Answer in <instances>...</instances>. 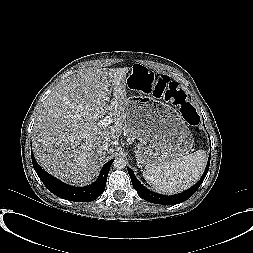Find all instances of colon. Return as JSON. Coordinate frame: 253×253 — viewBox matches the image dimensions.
<instances>
[{"mask_svg": "<svg viewBox=\"0 0 253 253\" xmlns=\"http://www.w3.org/2000/svg\"><path fill=\"white\" fill-rule=\"evenodd\" d=\"M150 72L143 66L137 65L133 69V80H143L150 78ZM156 94L164 96L171 100L174 104L180 107V111L184 119L192 124H198V114L194 107L187 100L185 92L176 86V84L168 80L164 76H157L156 78ZM196 133L199 134V130L196 128Z\"/></svg>", "mask_w": 253, "mask_h": 253, "instance_id": "obj_1", "label": "colon"}]
</instances>
